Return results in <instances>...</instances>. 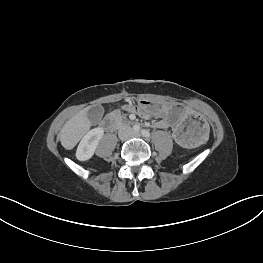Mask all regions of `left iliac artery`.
<instances>
[{"mask_svg":"<svg viewBox=\"0 0 263 263\" xmlns=\"http://www.w3.org/2000/svg\"><path fill=\"white\" fill-rule=\"evenodd\" d=\"M141 133H142V135H143L144 137H147V138L150 137V133H149L148 130L143 129V130L141 131Z\"/></svg>","mask_w":263,"mask_h":263,"instance_id":"1","label":"left iliac artery"}]
</instances>
